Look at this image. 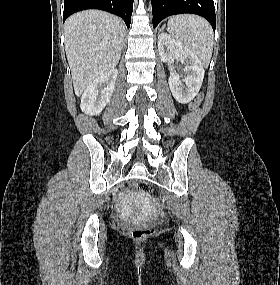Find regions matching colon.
I'll return each mask as SVG.
<instances>
[{"instance_id":"1","label":"colon","mask_w":280,"mask_h":285,"mask_svg":"<svg viewBox=\"0 0 280 285\" xmlns=\"http://www.w3.org/2000/svg\"><path fill=\"white\" fill-rule=\"evenodd\" d=\"M198 101L192 104V107H197ZM135 189L139 192L145 193L149 190L148 184L144 182H138L135 184ZM154 231V227L152 226H137L131 230V237L135 240H143L147 236H149Z\"/></svg>"}]
</instances>
